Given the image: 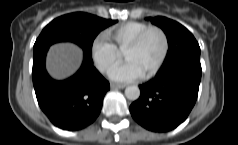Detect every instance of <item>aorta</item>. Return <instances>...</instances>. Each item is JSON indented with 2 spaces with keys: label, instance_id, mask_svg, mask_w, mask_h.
<instances>
[{
  "label": "aorta",
  "instance_id": "aorta-1",
  "mask_svg": "<svg viewBox=\"0 0 238 145\" xmlns=\"http://www.w3.org/2000/svg\"><path fill=\"white\" fill-rule=\"evenodd\" d=\"M125 96L127 97V99L129 100H137L140 96V89L138 86L132 85V86H128L125 89Z\"/></svg>",
  "mask_w": 238,
  "mask_h": 145
}]
</instances>
